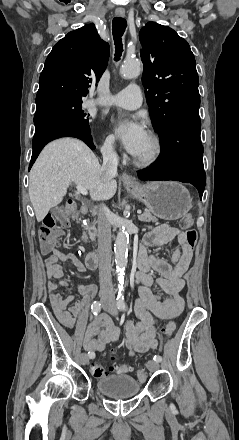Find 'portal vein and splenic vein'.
I'll return each instance as SVG.
<instances>
[{
	"mask_svg": "<svg viewBox=\"0 0 239 440\" xmlns=\"http://www.w3.org/2000/svg\"><path fill=\"white\" fill-rule=\"evenodd\" d=\"M76 190H77V192H80V194H83V196H87V194H88L86 188H83V186H76ZM141 211H142L141 209H138L137 213L139 215H142Z\"/></svg>",
	"mask_w": 239,
	"mask_h": 440,
	"instance_id": "obj_1",
	"label": "portal vein and splenic vein"
}]
</instances>
